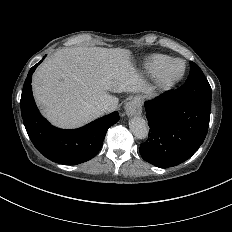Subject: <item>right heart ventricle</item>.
Returning a JSON list of instances; mask_svg holds the SVG:
<instances>
[{
	"label": "right heart ventricle",
	"mask_w": 232,
	"mask_h": 232,
	"mask_svg": "<svg viewBox=\"0 0 232 232\" xmlns=\"http://www.w3.org/2000/svg\"><path fill=\"white\" fill-rule=\"evenodd\" d=\"M173 59L164 54H152L147 56L139 65L132 68V76L136 80L154 78L163 71Z\"/></svg>",
	"instance_id": "obj_1"
}]
</instances>
